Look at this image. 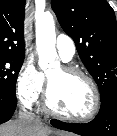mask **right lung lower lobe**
Here are the masks:
<instances>
[{
	"label": "right lung lower lobe",
	"instance_id": "obj_1",
	"mask_svg": "<svg viewBox=\"0 0 117 136\" xmlns=\"http://www.w3.org/2000/svg\"><path fill=\"white\" fill-rule=\"evenodd\" d=\"M16 105V94L0 92V124L10 120Z\"/></svg>",
	"mask_w": 117,
	"mask_h": 136
}]
</instances>
